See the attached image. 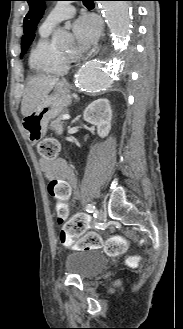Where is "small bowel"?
<instances>
[{
  "mask_svg": "<svg viewBox=\"0 0 183 329\" xmlns=\"http://www.w3.org/2000/svg\"><path fill=\"white\" fill-rule=\"evenodd\" d=\"M41 170L47 179L45 189L50 194L52 208H57L55 218H74L72 208H77L78 182L73 170L60 160H41ZM88 224L89 221H88ZM65 247L73 248L74 240H61Z\"/></svg>",
  "mask_w": 183,
  "mask_h": 329,
  "instance_id": "obj_1",
  "label": "small bowel"
}]
</instances>
